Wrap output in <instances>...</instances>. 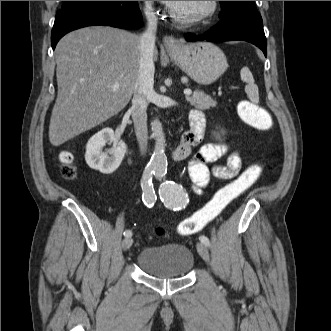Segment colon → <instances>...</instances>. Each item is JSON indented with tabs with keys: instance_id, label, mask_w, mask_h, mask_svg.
<instances>
[{
	"instance_id": "obj_1",
	"label": "colon",
	"mask_w": 331,
	"mask_h": 331,
	"mask_svg": "<svg viewBox=\"0 0 331 331\" xmlns=\"http://www.w3.org/2000/svg\"><path fill=\"white\" fill-rule=\"evenodd\" d=\"M238 112L246 124L257 130L266 131L273 126L270 113L255 103L250 101L240 102ZM72 160L71 153L66 151L61 154L62 174L67 179L74 178L76 174ZM260 175L261 168L258 165H252L242 171L218 190L201 209L183 220L178 227L179 233L183 236L191 235L215 220L235 199L251 188L258 181ZM156 234L162 236L164 230L158 228Z\"/></svg>"
}]
</instances>
